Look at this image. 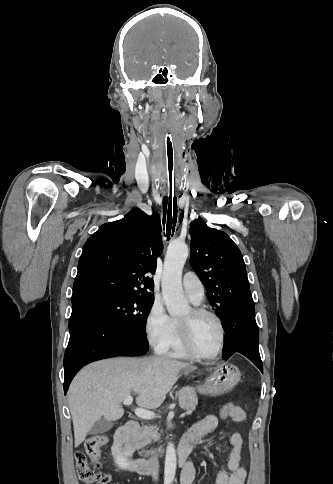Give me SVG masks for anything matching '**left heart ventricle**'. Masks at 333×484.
Segmentation results:
<instances>
[{
    "label": "left heart ventricle",
    "mask_w": 333,
    "mask_h": 484,
    "mask_svg": "<svg viewBox=\"0 0 333 484\" xmlns=\"http://www.w3.org/2000/svg\"><path fill=\"white\" fill-rule=\"evenodd\" d=\"M190 310L180 319L185 320L190 317ZM192 337L196 350L205 356L212 355L219 344L220 331L217 323L208 316L196 318L192 322Z\"/></svg>",
    "instance_id": "1"
}]
</instances>
